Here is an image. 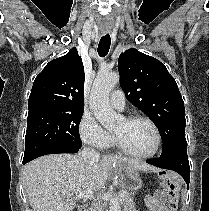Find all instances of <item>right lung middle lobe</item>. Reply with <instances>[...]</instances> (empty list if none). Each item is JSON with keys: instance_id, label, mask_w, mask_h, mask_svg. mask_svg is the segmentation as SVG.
Masks as SVG:
<instances>
[{"instance_id": "dd1d6c3e", "label": "right lung middle lobe", "mask_w": 209, "mask_h": 211, "mask_svg": "<svg viewBox=\"0 0 209 211\" xmlns=\"http://www.w3.org/2000/svg\"><path fill=\"white\" fill-rule=\"evenodd\" d=\"M83 111H41L28 114L24 161L56 147L81 148L79 124Z\"/></svg>"}]
</instances>
